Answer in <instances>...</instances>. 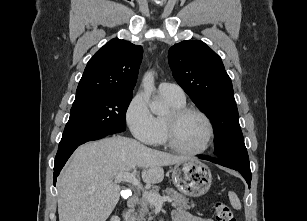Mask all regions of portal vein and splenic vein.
Listing matches in <instances>:
<instances>
[{
  "instance_id": "portal-vein-and-splenic-vein-1",
  "label": "portal vein and splenic vein",
  "mask_w": 307,
  "mask_h": 221,
  "mask_svg": "<svg viewBox=\"0 0 307 221\" xmlns=\"http://www.w3.org/2000/svg\"><path fill=\"white\" fill-rule=\"evenodd\" d=\"M115 181L128 182L134 186H137L142 190L143 196L155 207H162L164 202H172L169 196L161 197L158 194H154L150 191L144 190L139 180L136 178L135 173L123 172L115 176Z\"/></svg>"
}]
</instances>
